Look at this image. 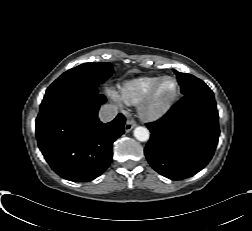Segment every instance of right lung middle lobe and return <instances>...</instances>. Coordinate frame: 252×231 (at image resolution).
Segmentation results:
<instances>
[{"mask_svg": "<svg viewBox=\"0 0 252 231\" xmlns=\"http://www.w3.org/2000/svg\"><path fill=\"white\" fill-rule=\"evenodd\" d=\"M112 73V65L108 62L81 64L56 79L46 90L44 98L65 90L98 87Z\"/></svg>", "mask_w": 252, "mask_h": 231, "instance_id": "1", "label": "right lung middle lobe"}]
</instances>
